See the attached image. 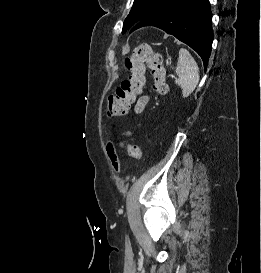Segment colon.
<instances>
[{
	"label": "colon",
	"instance_id": "5ec220e1",
	"mask_svg": "<svg viewBox=\"0 0 261 273\" xmlns=\"http://www.w3.org/2000/svg\"><path fill=\"white\" fill-rule=\"evenodd\" d=\"M124 66L128 77L121 82L116 93L108 98L107 115L111 118L123 116L128 112L134 99L146 84V69L151 71L154 79V91L163 94L166 90L163 57L150 44L137 46L133 53L125 58ZM121 146L127 149L133 159H141L142 151L137 145L121 144Z\"/></svg>",
	"mask_w": 261,
	"mask_h": 273
}]
</instances>
